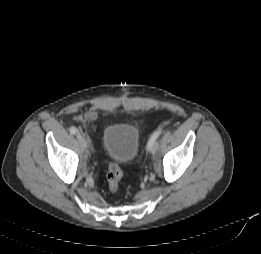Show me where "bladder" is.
<instances>
[{"label": "bladder", "instance_id": "obj_1", "mask_svg": "<svg viewBox=\"0 0 261 254\" xmlns=\"http://www.w3.org/2000/svg\"><path fill=\"white\" fill-rule=\"evenodd\" d=\"M102 143L110 158L119 163H129L139 150L138 129L130 124H112L105 129Z\"/></svg>", "mask_w": 261, "mask_h": 254}]
</instances>
